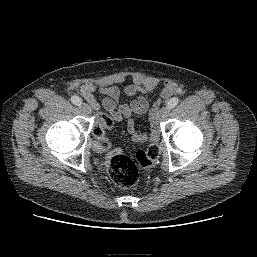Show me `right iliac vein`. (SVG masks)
<instances>
[{
  "instance_id": "right-iliac-vein-1",
  "label": "right iliac vein",
  "mask_w": 257,
  "mask_h": 257,
  "mask_svg": "<svg viewBox=\"0 0 257 257\" xmlns=\"http://www.w3.org/2000/svg\"><path fill=\"white\" fill-rule=\"evenodd\" d=\"M79 108H80V110L84 113V114H90L91 113V108H90V106L88 105V104H86V103H81L80 105H79Z\"/></svg>"
}]
</instances>
